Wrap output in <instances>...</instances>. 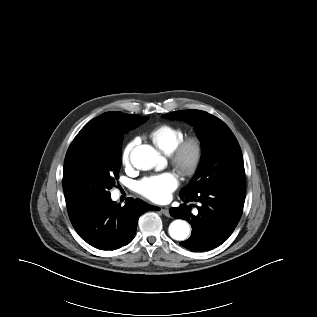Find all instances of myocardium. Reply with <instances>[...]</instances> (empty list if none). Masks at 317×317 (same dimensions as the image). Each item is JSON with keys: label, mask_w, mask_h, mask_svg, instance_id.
<instances>
[{"label": "myocardium", "mask_w": 317, "mask_h": 317, "mask_svg": "<svg viewBox=\"0 0 317 317\" xmlns=\"http://www.w3.org/2000/svg\"><path fill=\"white\" fill-rule=\"evenodd\" d=\"M172 165L184 176L194 175L203 160L204 144L197 135L184 137L169 154Z\"/></svg>", "instance_id": "obj_1"}]
</instances>
